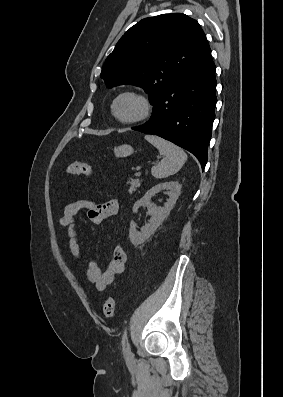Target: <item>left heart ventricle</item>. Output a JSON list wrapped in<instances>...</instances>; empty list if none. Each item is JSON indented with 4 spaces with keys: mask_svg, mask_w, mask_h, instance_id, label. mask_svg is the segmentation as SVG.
<instances>
[{
    "mask_svg": "<svg viewBox=\"0 0 283 397\" xmlns=\"http://www.w3.org/2000/svg\"><path fill=\"white\" fill-rule=\"evenodd\" d=\"M142 111L140 101L133 96H124L116 104V113L122 119L137 117Z\"/></svg>",
    "mask_w": 283,
    "mask_h": 397,
    "instance_id": "1",
    "label": "left heart ventricle"
}]
</instances>
